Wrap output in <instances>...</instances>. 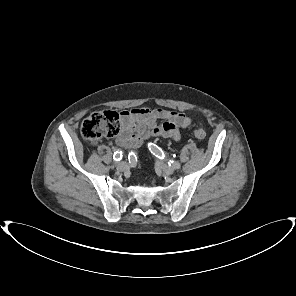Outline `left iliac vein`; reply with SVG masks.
<instances>
[{
	"mask_svg": "<svg viewBox=\"0 0 296 296\" xmlns=\"http://www.w3.org/2000/svg\"><path fill=\"white\" fill-rule=\"evenodd\" d=\"M158 165V167L164 172V173H166V174H173L174 173V171H175V168L174 167H172V166H168V165H166L165 163H158L157 164Z\"/></svg>",
	"mask_w": 296,
	"mask_h": 296,
	"instance_id": "1",
	"label": "left iliac vein"
}]
</instances>
